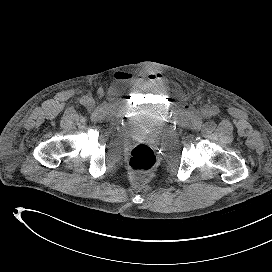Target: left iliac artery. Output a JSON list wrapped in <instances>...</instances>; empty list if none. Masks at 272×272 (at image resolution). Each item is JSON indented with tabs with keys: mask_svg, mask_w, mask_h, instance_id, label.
I'll return each mask as SVG.
<instances>
[{
	"mask_svg": "<svg viewBox=\"0 0 272 272\" xmlns=\"http://www.w3.org/2000/svg\"><path fill=\"white\" fill-rule=\"evenodd\" d=\"M218 112H219V109H218L217 107H214V108L212 109V114H213V115H217Z\"/></svg>",
	"mask_w": 272,
	"mask_h": 272,
	"instance_id": "obj_1",
	"label": "left iliac artery"
}]
</instances>
